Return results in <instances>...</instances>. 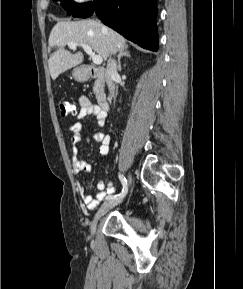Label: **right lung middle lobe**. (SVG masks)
<instances>
[{"label": "right lung middle lobe", "mask_w": 243, "mask_h": 289, "mask_svg": "<svg viewBox=\"0 0 243 289\" xmlns=\"http://www.w3.org/2000/svg\"><path fill=\"white\" fill-rule=\"evenodd\" d=\"M57 1V0H54ZM68 15H72L85 4L75 3L73 0H60Z\"/></svg>", "instance_id": "right-lung-middle-lobe-1"}]
</instances>
